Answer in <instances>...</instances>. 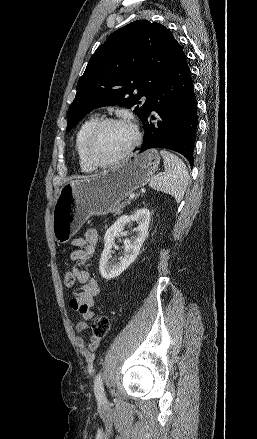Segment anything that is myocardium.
<instances>
[{
    "instance_id": "1",
    "label": "myocardium",
    "mask_w": 257,
    "mask_h": 439,
    "mask_svg": "<svg viewBox=\"0 0 257 439\" xmlns=\"http://www.w3.org/2000/svg\"><path fill=\"white\" fill-rule=\"evenodd\" d=\"M109 125H125L132 129L133 131V140L131 143L125 148L124 151H122L120 154H118L116 157L107 160V161H99L92 152V145L96 139V137L99 135V133ZM141 142V132L137 124H135L130 119L126 118H105L102 120H99L96 125L91 129L89 134L87 135L85 139L84 144V152L86 155L87 160L94 168H106L109 166H112L126 157H128L134 149L140 144Z\"/></svg>"
}]
</instances>
